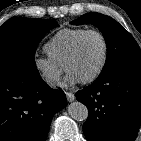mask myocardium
<instances>
[{
  "label": "myocardium",
  "instance_id": "obj_1",
  "mask_svg": "<svg viewBox=\"0 0 141 141\" xmlns=\"http://www.w3.org/2000/svg\"><path fill=\"white\" fill-rule=\"evenodd\" d=\"M90 34H95V35L100 37V39H101V41L103 43V58H102V62L100 64L98 70L93 75H91L90 77H88V78H86L84 80H81V82L84 83V84H90V83L95 82L98 78H100V76L105 71V68H106L107 62H108V57H109V45H108V41H107L105 35L101 31H99L97 29H88L85 32H83L79 36V38L76 40L73 48L71 49L69 55L66 58V61H65V64H64L65 69L67 70L68 64L73 59L76 58V56L78 55V53L80 51V48L82 46L83 41Z\"/></svg>",
  "mask_w": 141,
  "mask_h": 141
}]
</instances>
